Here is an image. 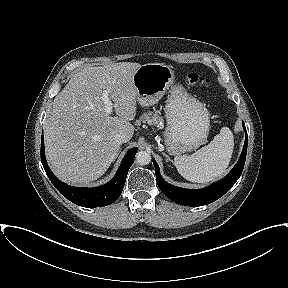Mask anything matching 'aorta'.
I'll return each mask as SVG.
<instances>
[{
  "label": "aorta",
  "mask_w": 288,
  "mask_h": 288,
  "mask_svg": "<svg viewBox=\"0 0 288 288\" xmlns=\"http://www.w3.org/2000/svg\"><path fill=\"white\" fill-rule=\"evenodd\" d=\"M136 161L139 165H147L151 161V154L147 151H139L136 154Z\"/></svg>",
  "instance_id": "aorta-1"
}]
</instances>
